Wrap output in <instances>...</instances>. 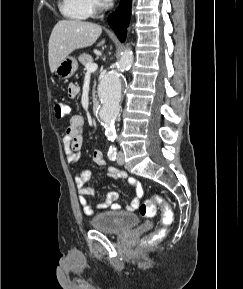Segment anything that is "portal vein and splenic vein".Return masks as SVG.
<instances>
[{
	"label": "portal vein and splenic vein",
	"mask_w": 243,
	"mask_h": 289,
	"mask_svg": "<svg viewBox=\"0 0 243 289\" xmlns=\"http://www.w3.org/2000/svg\"><path fill=\"white\" fill-rule=\"evenodd\" d=\"M98 68V65L96 63H87L86 64V70L88 73L96 71Z\"/></svg>",
	"instance_id": "1"
}]
</instances>
